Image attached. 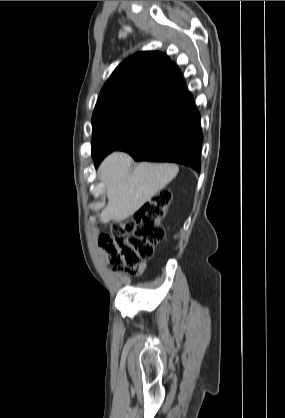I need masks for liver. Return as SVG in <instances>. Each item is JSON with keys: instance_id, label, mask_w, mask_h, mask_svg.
<instances>
[{"instance_id": "obj_1", "label": "liver", "mask_w": 285, "mask_h": 418, "mask_svg": "<svg viewBox=\"0 0 285 418\" xmlns=\"http://www.w3.org/2000/svg\"><path fill=\"white\" fill-rule=\"evenodd\" d=\"M132 158L114 152L101 163L99 175L107 189L108 204L100 214L103 223L121 222L136 213L177 175L175 164L139 163L132 169Z\"/></svg>"}]
</instances>
